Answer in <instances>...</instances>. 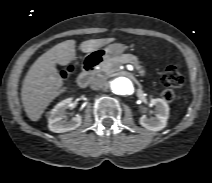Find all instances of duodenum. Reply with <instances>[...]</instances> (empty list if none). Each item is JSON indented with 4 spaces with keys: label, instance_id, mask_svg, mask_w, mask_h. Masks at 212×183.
<instances>
[{
    "label": "duodenum",
    "instance_id": "obj_1",
    "mask_svg": "<svg viewBox=\"0 0 212 183\" xmlns=\"http://www.w3.org/2000/svg\"><path fill=\"white\" fill-rule=\"evenodd\" d=\"M101 59L97 56H88L83 62L82 72L78 76L77 83L80 87H86L96 66L100 63Z\"/></svg>",
    "mask_w": 212,
    "mask_h": 183
}]
</instances>
